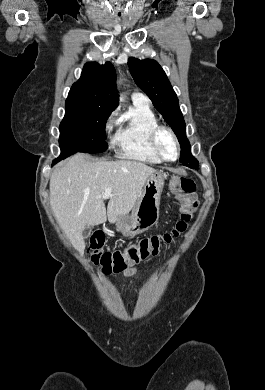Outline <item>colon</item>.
<instances>
[{
  "label": "colon",
  "mask_w": 265,
  "mask_h": 390,
  "mask_svg": "<svg viewBox=\"0 0 265 390\" xmlns=\"http://www.w3.org/2000/svg\"><path fill=\"white\" fill-rule=\"evenodd\" d=\"M170 190L182 200L180 218L175 226L161 235L143 238L122 250L104 251L105 235L96 230L89 241L88 252L92 262L104 274L123 273L134 265L159 253L161 247L184 233L197 208L196 184L188 177L173 176L169 182Z\"/></svg>",
  "instance_id": "obj_1"
}]
</instances>
